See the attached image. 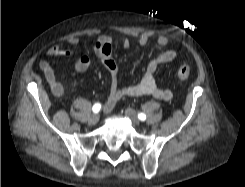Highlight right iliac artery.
Listing matches in <instances>:
<instances>
[{"label":"right iliac artery","instance_id":"82829eb1","mask_svg":"<svg viewBox=\"0 0 245 187\" xmlns=\"http://www.w3.org/2000/svg\"><path fill=\"white\" fill-rule=\"evenodd\" d=\"M101 109V105L99 103L94 104L92 110L94 113H98Z\"/></svg>","mask_w":245,"mask_h":187}]
</instances>
